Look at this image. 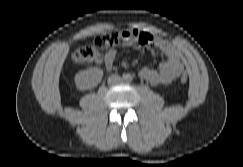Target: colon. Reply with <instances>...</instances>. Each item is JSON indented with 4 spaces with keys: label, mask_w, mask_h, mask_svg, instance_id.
Returning <instances> with one entry per match:
<instances>
[{
    "label": "colon",
    "mask_w": 243,
    "mask_h": 167,
    "mask_svg": "<svg viewBox=\"0 0 243 167\" xmlns=\"http://www.w3.org/2000/svg\"><path fill=\"white\" fill-rule=\"evenodd\" d=\"M127 38L128 33L122 30H110L99 34L94 40V45L82 47L77 50L73 54L71 62L74 65L100 64L102 62L103 51L122 44ZM180 81L186 83L188 81V75L186 73L182 74Z\"/></svg>",
    "instance_id": "colon-1"
}]
</instances>
